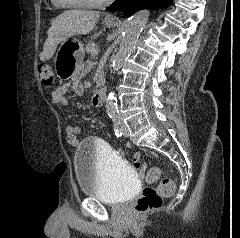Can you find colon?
<instances>
[{
	"mask_svg": "<svg viewBox=\"0 0 240 238\" xmlns=\"http://www.w3.org/2000/svg\"><path fill=\"white\" fill-rule=\"evenodd\" d=\"M38 75L42 83L49 86L54 81V72L50 65L41 63L38 66ZM135 168V167H134ZM161 172L158 168H149L146 172L148 182H155L159 179ZM175 184L170 178L160 180L157 187H146L142 190L135 204L137 214H145L161 207L162 200L174 193Z\"/></svg>",
	"mask_w": 240,
	"mask_h": 238,
	"instance_id": "obj_1",
	"label": "colon"
}]
</instances>
